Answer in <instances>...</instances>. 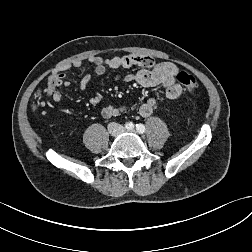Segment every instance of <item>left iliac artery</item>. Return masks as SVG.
I'll return each instance as SVG.
<instances>
[{
	"label": "left iliac artery",
	"mask_w": 252,
	"mask_h": 252,
	"mask_svg": "<svg viewBox=\"0 0 252 252\" xmlns=\"http://www.w3.org/2000/svg\"><path fill=\"white\" fill-rule=\"evenodd\" d=\"M136 129L139 133L145 132V126L143 124H136Z\"/></svg>",
	"instance_id": "left-iliac-artery-1"
}]
</instances>
